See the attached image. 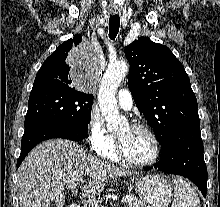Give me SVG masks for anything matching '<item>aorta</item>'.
Segmentation results:
<instances>
[{
  "label": "aorta",
  "mask_w": 220,
  "mask_h": 207,
  "mask_svg": "<svg viewBox=\"0 0 220 207\" xmlns=\"http://www.w3.org/2000/svg\"><path fill=\"white\" fill-rule=\"evenodd\" d=\"M128 69L129 66L126 62L111 63L101 80L98 103L100 112L107 122V129L111 132L118 130L127 122L126 118L119 115L115 95Z\"/></svg>",
  "instance_id": "obj_1"
}]
</instances>
